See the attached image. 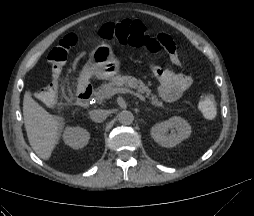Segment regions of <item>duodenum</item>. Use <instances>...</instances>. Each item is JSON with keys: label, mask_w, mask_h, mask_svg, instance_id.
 <instances>
[{"label": "duodenum", "mask_w": 254, "mask_h": 216, "mask_svg": "<svg viewBox=\"0 0 254 216\" xmlns=\"http://www.w3.org/2000/svg\"><path fill=\"white\" fill-rule=\"evenodd\" d=\"M93 88L90 84L78 88L76 93V102L79 106H87L92 96Z\"/></svg>", "instance_id": "obj_1"}]
</instances>
